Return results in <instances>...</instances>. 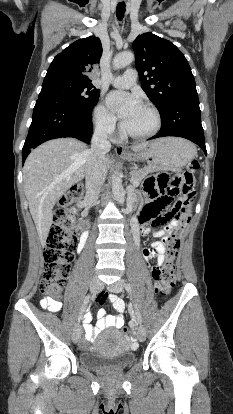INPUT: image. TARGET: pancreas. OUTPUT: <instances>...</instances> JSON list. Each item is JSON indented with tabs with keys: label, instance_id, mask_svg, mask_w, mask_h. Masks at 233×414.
<instances>
[{
	"label": "pancreas",
	"instance_id": "pancreas-1",
	"mask_svg": "<svg viewBox=\"0 0 233 414\" xmlns=\"http://www.w3.org/2000/svg\"><path fill=\"white\" fill-rule=\"evenodd\" d=\"M151 172H154V170L150 167H145L143 169H134L131 171V176L134 181L140 184V182Z\"/></svg>",
	"mask_w": 233,
	"mask_h": 414
}]
</instances>
